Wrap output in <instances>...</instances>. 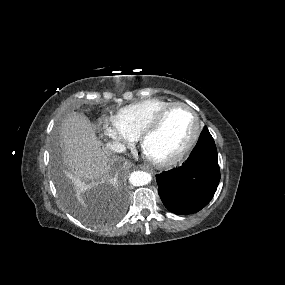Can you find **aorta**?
<instances>
[{
	"instance_id": "aorta-1",
	"label": "aorta",
	"mask_w": 285,
	"mask_h": 285,
	"mask_svg": "<svg viewBox=\"0 0 285 285\" xmlns=\"http://www.w3.org/2000/svg\"><path fill=\"white\" fill-rule=\"evenodd\" d=\"M152 179L150 173L144 171H135L130 175V183L134 186H143L148 184Z\"/></svg>"
}]
</instances>
